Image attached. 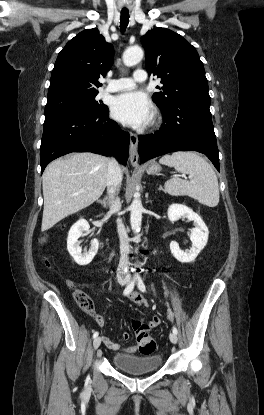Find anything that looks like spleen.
<instances>
[{
  "mask_svg": "<svg viewBox=\"0 0 264 415\" xmlns=\"http://www.w3.org/2000/svg\"><path fill=\"white\" fill-rule=\"evenodd\" d=\"M161 164L174 167L176 171L188 174L190 180L176 175L165 182V192L172 196H189L208 207L219 203L217 176L211 165L195 152L178 151L160 158Z\"/></svg>",
  "mask_w": 264,
  "mask_h": 415,
  "instance_id": "3e777b00",
  "label": "spleen"
}]
</instances>
